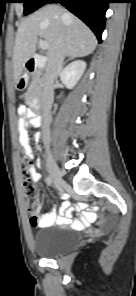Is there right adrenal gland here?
<instances>
[{"instance_id":"1","label":"right adrenal gland","mask_w":136,"mask_h":296,"mask_svg":"<svg viewBox=\"0 0 136 296\" xmlns=\"http://www.w3.org/2000/svg\"><path fill=\"white\" fill-rule=\"evenodd\" d=\"M75 57H70L69 59L66 60V62L64 64H66L68 61L74 59Z\"/></svg>"}]
</instances>
